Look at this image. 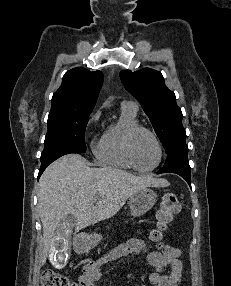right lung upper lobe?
<instances>
[{
    "mask_svg": "<svg viewBox=\"0 0 231 286\" xmlns=\"http://www.w3.org/2000/svg\"><path fill=\"white\" fill-rule=\"evenodd\" d=\"M100 71L77 67L65 73L62 85L53 94L51 110L92 111L103 83Z\"/></svg>",
    "mask_w": 231,
    "mask_h": 286,
    "instance_id": "1",
    "label": "right lung upper lobe"
}]
</instances>
